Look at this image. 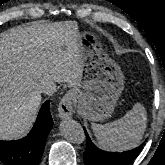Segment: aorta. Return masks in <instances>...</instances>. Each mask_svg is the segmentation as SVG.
Instances as JSON below:
<instances>
[{"label": "aorta", "mask_w": 165, "mask_h": 165, "mask_svg": "<svg viewBox=\"0 0 165 165\" xmlns=\"http://www.w3.org/2000/svg\"><path fill=\"white\" fill-rule=\"evenodd\" d=\"M60 132L71 143L81 144L85 141L84 130L75 120L63 121L60 125Z\"/></svg>", "instance_id": "762f6f07"}]
</instances>
